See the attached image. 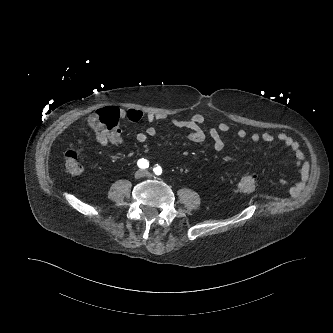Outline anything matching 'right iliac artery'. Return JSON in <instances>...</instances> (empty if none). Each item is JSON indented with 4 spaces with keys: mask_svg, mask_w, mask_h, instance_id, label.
I'll list each match as a JSON object with an SVG mask.
<instances>
[{
    "mask_svg": "<svg viewBox=\"0 0 333 333\" xmlns=\"http://www.w3.org/2000/svg\"><path fill=\"white\" fill-rule=\"evenodd\" d=\"M137 165L141 169H146L149 167V162H148V160L142 158V159L138 160Z\"/></svg>",
    "mask_w": 333,
    "mask_h": 333,
    "instance_id": "82829eb1",
    "label": "right iliac artery"
}]
</instances>
